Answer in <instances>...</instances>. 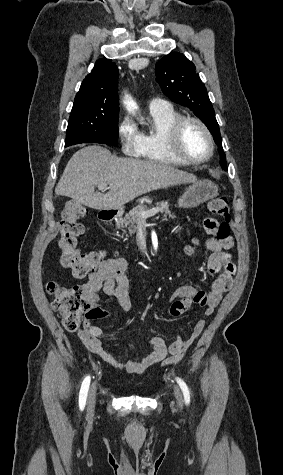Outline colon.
I'll use <instances>...</instances> for the list:
<instances>
[{
	"instance_id": "5ec220e1",
	"label": "colon",
	"mask_w": 283,
	"mask_h": 475,
	"mask_svg": "<svg viewBox=\"0 0 283 475\" xmlns=\"http://www.w3.org/2000/svg\"><path fill=\"white\" fill-rule=\"evenodd\" d=\"M207 207L211 213L219 217V224H228L230 221V205L227 197L218 196L209 200ZM87 216L86 207L75 202L67 201L61 210V236L58 241L60 250V262L62 266L70 270L76 278H84L98 269L103 261V255L99 251L84 252L78 246V239L84 233L82 220ZM228 233H219V239H228ZM188 253L193 252L192 247L187 248ZM48 292L53 297L52 309L62 318L64 328L69 332H76L88 309V301L79 285H61L55 281L47 284ZM193 291L192 287L188 288ZM191 297L185 296L184 300L170 306L169 314L174 317L185 314L191 306Z\"/></svg>"
}]
</instances>
